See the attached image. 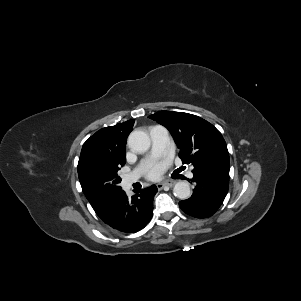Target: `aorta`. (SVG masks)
<instances>
[{
	"label": "aorta",
	"mask_w": 301,
	"mask_h": 301,
	"mask_svg": "<svg viewBox=\"0 0 301 301\" xmlns=\"http://www.w3.org/2000/svg\"><path fill=\"white\" fill-rule=\"evenodd\" d=\"M129 147L138 153L146 152L150 148V138L147 133L134 130L128 137ZM174 195L179 199H188L191 196L190 186L187 182L179 181L173 188Z\"/></svg>",
	"instance_id": "762f6f07"
}]
</instances>
